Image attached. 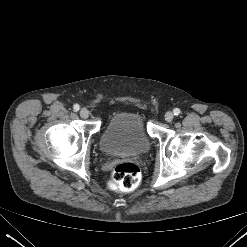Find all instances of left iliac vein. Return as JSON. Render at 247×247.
<instances>
[{
    "mask_svg": "<svg viewBox=\"0 0 247 247\" xmlns=\"http://www.w3.org/2000/svg\"><path fill=\"white\" fill-rule=\"evenodd\" d=\"M173 118H174V114L172 113V112H167L166 114H165V120L167 121V122H171L172 120H173Z\"/></svg>",
    "mask_w": 247,
    "mask_h": 247,
    "instance_id": "1",
    "label": "left iliac vein"
}]
</instances>
